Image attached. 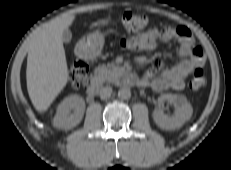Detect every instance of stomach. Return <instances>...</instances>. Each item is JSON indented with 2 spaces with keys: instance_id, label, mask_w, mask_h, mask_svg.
<instances>
[{
  "instance_id": "0dacf381",
  "label": "stomach",
  "mask_w": 231,
  "mask_h": 170,
  "mask_svg": "<svg viewBox=\"0 0 231 170\" xmlns=\"http://www.w3.org/2000/svg\"><path fill=\"white\" fill-rule=\"evenodd\" d=\"M104 45V35L100 32H94L80 40L79 50L86 58H95L98 56Z\"/></svg>"
}]
</instances>
